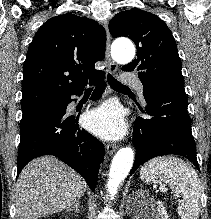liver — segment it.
I'll return each instance as SVG.
<instances>
[{
    "instance_id": "liver-1",
    "label": "liver",
    "mask_w": 211,
    "mask_h": 219,
    "mask_svg": "<svg viewBox=\"0 0 211 219\" xmlns=\"http://www.w3.org/2000/svg\"><path fill=\"white\" fill-rule=\"evenodd\" d=\"M84 179L53 156L29 162L15 189L17 219H39L70 208L86 192Z\"/></svg>"
}]
</instances>
